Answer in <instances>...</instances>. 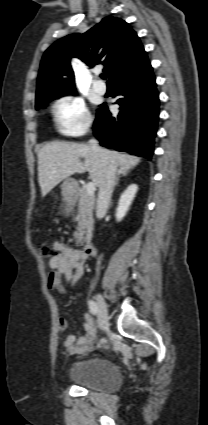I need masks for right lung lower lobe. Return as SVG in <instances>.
Wrapping results in <instances>:
<instances>
[{"label":"right lung lower lobe","instance_id":"right-lung-lower-lobe-1","mask_svg":"<svg viewBox=\"0 0 208 425\" xmlns=\"http://www.w3.org/2000/svg\"><path fill=\"white\" fill-rule=\"evenodd\" d=\"M120 112L111 116L105 104L97 111L94 135L100 145L151 159L156 134L159 97L147 58L112 80Z\"/></svg>","mask_w":208,"mask_h":425}]
</instances>
